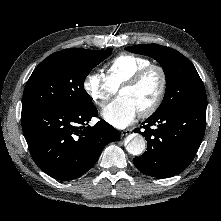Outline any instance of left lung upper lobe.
<instances>
[{
  "mask_svg": "<svg viewBox=\"0 0 221 221\" xmlns=\"http://www.w3.org/2000/svg\"><path fill=\"white\" fill-rule=\"evenodd\" d=\"M125 49L154 58L164 70L165 96L155 113L169 109H206L203 82L194 65L180 52L158 44H139Z\"/></svg>",
  "mask_w": 221,
  "mask_h": 221,
  "instance_id": "5c2ea615",
  "label": "left lung upper lobe"
}]
</instances>
